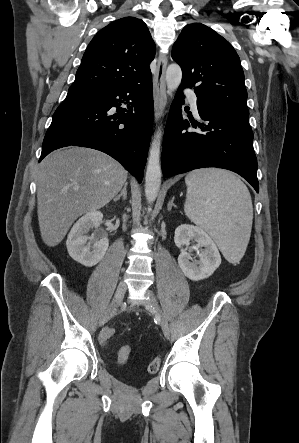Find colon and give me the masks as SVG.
Here are the masks:
<instances>
[{"label":"colon","mask_w":299,"mask_h":443,"mask_svg":"<svg viewBox=\"0 0 299 443\" xmlns=\"http://www.w3.org/2000/svg\"><path fill=\"white\" fill-rule=\"evenodd\" d=\"M115 335V329L106 328L100 334V341L107 343ZM131 356V348L129 346H123L118 352V360L120 363H125ZM161 359L160 357L153 358L148 365L149 373H156L160 369Z\"/></svg>","instance_id":"obj_1"}]
</instances>
